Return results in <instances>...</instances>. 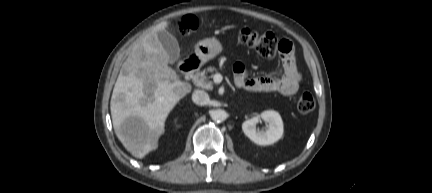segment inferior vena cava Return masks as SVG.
<instances>
[{
	"mask_svg": "<svg viewBox=\"0 0 432 193\" xmlns=\"http://www.w3.org/2000/svg\"><path fill=\"white\" fill-rule=\"evenodd\" d=\"M192 100L197 105H207L209 102V95L203 90H195L192 94Z\"/></svg>",
	"mask_w": 432,
	"mask_h": 193,
	"instance_id": "1",
	"label": "inferior vena cava"
}]
</instances>
